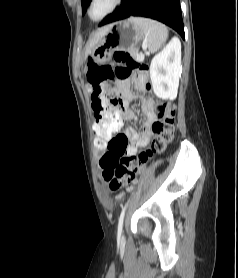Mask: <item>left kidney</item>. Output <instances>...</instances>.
Returning a JSON list of instances; mask_svg holds the SVG:
<instances>
[{
    "label": "left kidney",
    "instance_id": "5707ae66",
    "mask_svg": "<svg viewBox=\"0 0 238 278\" xmlns=\"http://www.w3.org/2000/svg\"><path fill=\"white\" fill-rule=\"evenodd\" d=\"M181 75V43L173 38L154 56L150 65V78L155 95L162 99L177 97Z\"/></svg>",
    "mask_w": 238,
    "mask_h": 278
}]
</instances>
